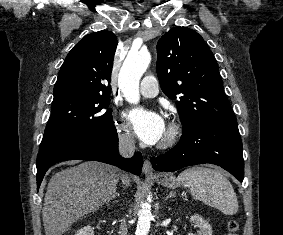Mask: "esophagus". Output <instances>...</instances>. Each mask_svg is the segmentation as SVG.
Returning a JSON list of instances; mask_svg holds the SVG:
<instances>
[{
  "instance_id": "obj_1",
  "label": "esophagus",
  "mask_w": 283,
  "mask_h": 235,
  "mask_svg": "<svg viewBox=\"0 0 283 235\" xmlns=\"http://www.w3.org/2000/svg\"><path fill=\"white\" fill-rule=\"evenodd\" d=\"M142 170H143V173L145 175H151L152 176L154 174V171H153L152 164H151L150 160L146 159L144 161Z\"/></svg>"
}]
</instances>
